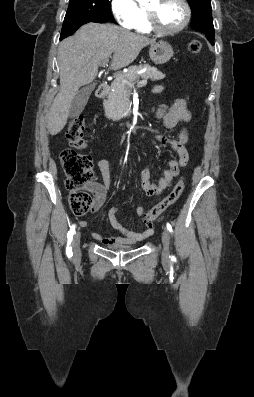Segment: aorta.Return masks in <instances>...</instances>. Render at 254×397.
Returning a JSON list of instances; mask_svg holds the SVG:
<instances>
[{
  "label": "aorta",
  "instance_id": "aorta-1",
  "mask_svg": "<svg viewBox=\"0 0 254 397\" xmlns=\"http://www.w3.org/2000/svg\"><path fill=\"white\" fill-rule=\"evenodd\" d=\"M139 3H144L146 0H137Z\"/></svg>",
  "mask_w": 254,
  "mask_h": 397
}]
</instances>
